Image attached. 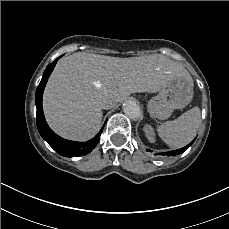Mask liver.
<instances>
[{"instance_id":"obj_1","label":"liver","mask_w":229,"mask_h":229,"mask_svg":"<svg viewBox=\"0 0 229 229\" xmlns=\"http://www.w3.org/2000/svg\"><path fill=\"white\" fill-rule=\"evenodd\" d=\"M190 73L161 55L115 58L85 52L63 57L43 96L49 126L63 138L86 141L101 128L102 103L114 107L131 93L157 92L166 82Z\"/></svg>"}]
</instances>
